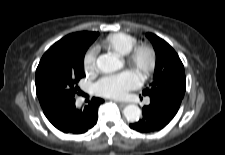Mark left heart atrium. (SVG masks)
I'll return each instance as SVG.
<instances>
[{
	"instance_id": "obj_1",
	"label": "left heart atrium",
	"mask_w": 225,
	"mask_h": 155,
	"mask_svg": "<svg viewBox=\"0 0 225 155\" xmlns=\"http://www.w3.org/2000/svg\"><path fill=\"white\" fill-rule=\"evenodd\" d=\"M140 84V76L132 70H126L102 77L95 84L94 89L101 96L119 99L124 97L130 90L139 87Z\"/></svg>"
}]
</instances>
